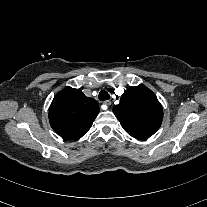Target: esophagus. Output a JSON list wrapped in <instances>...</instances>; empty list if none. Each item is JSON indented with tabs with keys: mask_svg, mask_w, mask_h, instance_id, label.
<instances>
[{
	"mask_svg": "<svg viewBox=\"0 0 207 207\" xmlns=\"http://www.w3.org/2000/svg\"><path fill=\"white\" fill-rule=\"evenodd\" d=\"M104 104L107 105V106H110L111 105V101L110 100H106V101H104Z\"/></svg>",
	"mask_w": 207,
	"mask_h": 207,
	"instance_id": "esophagus-1",
	"label": "esophagus"
}]
</instances>
